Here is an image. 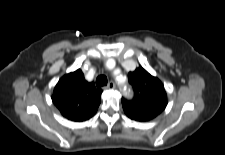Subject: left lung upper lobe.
Returning <instances> with one entry per match:
<instances>
[{"mask_svg":"<svg viewBox=\"0 0 225 155\" xmlns=\"http://www.w3.org/2000/svg\"><path fill=\"white\" fill-rule=\"evenodd\" d=\"M129 83L134 89V98H122L125 114L136 121L152 120L164 111L167 105V96L161 81L150 75L139 66L128 74Z\"/></svg>","mask_w":225,"mask_h":155,"instance_id":"obj_1","label":"left lung upper lobe"}]
</instances>
